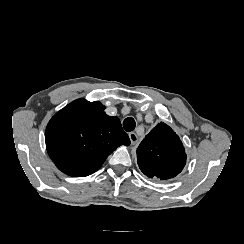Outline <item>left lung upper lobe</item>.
I'll list each match as a JSON object with an SVG mask.
<instances>
[{
    "instance_id": "1",
    "label": "left lung upper lobe",
    "mask_w": 244,
    "mask_h": 244,
    "mask_svg": "<svg viewBox=\"0 0 244 244\" xmlns=\"http://www.w3.org/2000/svg\"><path fill=\"white\" fill-rule=\"evenodd\" d=\"M137 162L140 170L149 178L168 180L184 168L185 148L171 127L161 122L140 143Z\"/></svg>"
}]
</instances>
